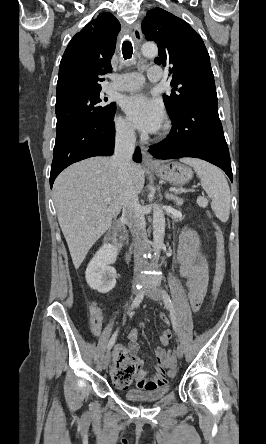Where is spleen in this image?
Segmentation results:
<instances>
[{
	"label": "spleen",
	"instance_id": "1",
	"mask_svg": "<svg viewBox=\"0 0 266 444\" xmlns=\"http://www.w3.org/2000/svg\"><path fill=\"white\" fill-rule=\"evenodd\" d=\"M181 162L194 168L201 186L211 198V208L222 222L229 219L231 195L228 182L216 166L197 158H182Z\"/></svg>",
	"mask_w": 266,
	"mask_h": 444
}]
</instances>
